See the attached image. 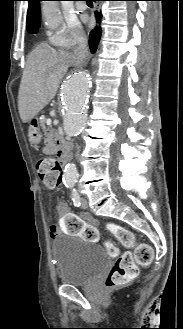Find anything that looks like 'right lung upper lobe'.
<instances>
[{
	"instance_id": "obj_1",
	"label": "right lung upper lobe",
	"mask_w": 183,
	"mask_h": 329,
	"mask_svg": "<svg viewBox=\"0 0 183 329\" xmlns=\"http://www.w3.org/2000/svg\"><path fill=\"white\" fill-rule=\"evenodd\" d=\"M42 0H28L27 30L31 32L37 25H40V6Z\"/></svg>"
}]
</instances>
